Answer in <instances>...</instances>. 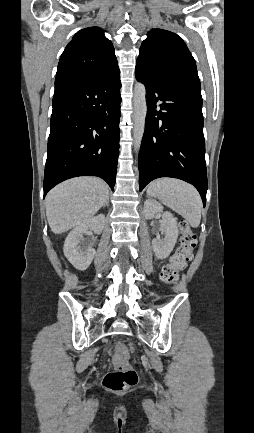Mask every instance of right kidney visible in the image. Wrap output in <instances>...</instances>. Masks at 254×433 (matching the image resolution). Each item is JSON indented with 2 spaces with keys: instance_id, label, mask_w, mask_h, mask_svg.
Returning a JSON list of instances; mask_svg holds the SVG:
<instances>
[{
  "instance_id": "right-kidney-1",
  "label": "right kidney",
  "mask_w": 254,
  "mask_h": 433,
  "mask_svg": "<svg viewBox=\"0 0 254 433\" xmlns=\"http://www.w3.org/2000/svg\"><path fill=\"white\" fill-rule=\"evenodd\" d=\"M104 225L105 216L99 214L82 222L68 234L64 243V254L76 269L86 270L95 256V250L92 248V245L87 247L81 246L83 244L81 242L83 234H87L90 231L100 234Z\"/></svg>"
}]
</instances>
